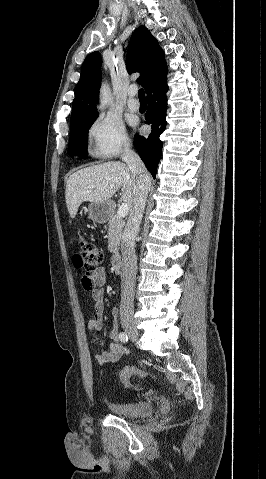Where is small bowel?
<instances>
[{
  "label": "small bowel",
  "mask_w": 266,
  "mask_h": 479,
  "mask_svg": "<svg viewBox=\"0 0 266 479\" xmlns=\"http://www.w3.org/2000/svg\"><path fill=\"white\" fill-rule=\"evenodd\" d=\"M90 279L93 282L92 288V299L95 302L94 306V315L88 322V329L92 333H99L103 328L104 320V296L105 290L104 285L107 283L108 278L104 268H96L91 274ZM118 309L112 310L113 317V326L110 332V337L112 342L110 343L109 351H98L95 354V359L100 365L108 363L118 362L124 355L128 354V348L122 345L118 341V332H117V318H118Z\"/></svg>",
  "instance_id": "c3829d8e"
}]
</instances>
